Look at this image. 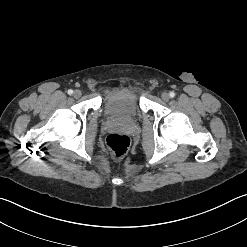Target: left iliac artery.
Wrapping results in <instances>:
<instances>
[{
    "instance_id": "1",
    "label": "left iliac artery",
    "mask_w": 247,
    "mask_h": 247,
    "mask_svg": "<svg viewBox=\"0 0 247 247\" xmlns=\"http://www.w3.org/2000/svg\"><path fill=\"white\" fill-rule=\"evenodd\" d=\"M169 95H170L171 98L175 97V93H174L173 91H171V92L169 93Z\"/></svg>"
}]
</instances>
